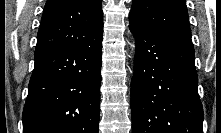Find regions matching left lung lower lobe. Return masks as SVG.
Listing matches in <instances>:
<instances>
[{"label":"left lung lower lobe","mask_w":221,"mask_h":133,"mask_svg":"<svg viewBox=\"0 0 221 133\" xmlns=\"http://www.w3.org/2000/svg\"><path fill=\"white\" fill-rule=\"evenodd\" d=\"M136 38L132 133H202L191 40L130 26Z\"/></svg>","instance_id":"obj_1"}]
</instances>
